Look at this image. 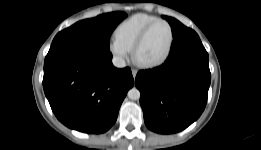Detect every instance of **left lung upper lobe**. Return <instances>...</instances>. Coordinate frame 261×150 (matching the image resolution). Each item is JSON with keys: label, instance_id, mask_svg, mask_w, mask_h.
Returning a JSON list of instances; mask_svg holds the SVG:
<instances>
[{"label": "left lung upper lobe", "instance_id": "1", "mask_svg": "<svg viewBox=\"0 0 261 150\" xmlns=\"http://www.w3.org/2000/svg\"><path fill=\"white\" fill-rule=\"evenodd\" d=\"M163 18H165L169 22L172 28L173 36H176L178 33H180L186 28L182 23H180L178 20L174 18L167 17V16H163Z\"/></svg>", "mask_w": 261, "mask_h": 150}]
</instances>
